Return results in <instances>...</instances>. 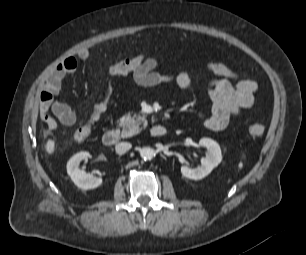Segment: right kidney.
Returning <instances> with one entry per match:
<instances>
[{
  "label": "right kidney",
  "mask_w": 306,
  "mask_h": 255,
  "mask_svg": "<svg viewBox=\"0 0 306 255\" xmlns=\"http://www.w3.org/2000/svg\"><path fill=\"white\" fill-rule=\"evenodd\" d=\"M89 156V152H79L70 158L66 166L71 180L78 188L83 190L94 189L102 184L101 178L87 174L84 170L79 169L81 161Z\"/></svg>",
  "instance_id": "obj_1"
}]
</instances>
